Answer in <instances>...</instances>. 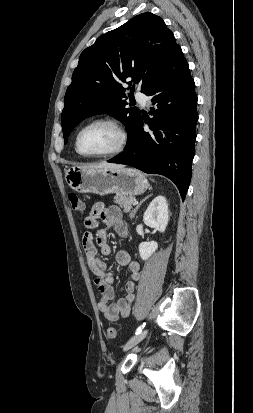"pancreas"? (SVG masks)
I'll use <instances>...</instances> for the list:
<instances>
[{
    "mask_svg": "<svg viewBox=\"0 0 253 413\" xmlns=\"http://www.w3.org/2000/svg\"><path fill=\"white\" fill-rule=\"evenodd\" d=\"M134 200L135 198L133 196H126L122 194H118L114 197V202L118 204L121 208H123V211L125 213L131 212Z\"/></svg>",
    "mask_w": 253,
    "mask_h": 413,
    "instance_id": "1",
    "label": "pancreas"
}]
</instances>
